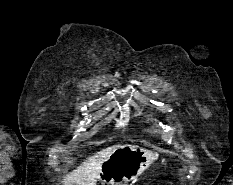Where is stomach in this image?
Segmentation results:
<instances>
[{"mask_svg": "<svg viewBox=\"0 0 233 185\" xmlns=\"http://www.w3.org/2000/svg\"><path fill=\"white\" fill-rule=\"evenodd\" d=\"M157 155L135 145H122L102 164L99 180L103 185H125L137 179Z\"/></svg>", "mask_w": 233, "mask_h": 185, "instance_id": "1", "label": "stomach"}]
</instances>
